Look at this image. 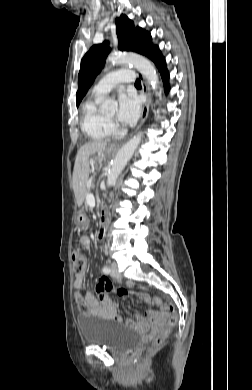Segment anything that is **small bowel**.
I'll return each mask as SVG.
<instances>
[{"mask_svg":"<svg viewBox=\"0 0 252 390\" xmlns=\"http://www.w3.org/2000/svg\"><path fill=\"white\" fill-rule=\"evenodd\" d=\"M81 245L88 249L90 247V239L86 236L80 239ZM86 271L83 270L75 275L73 286L76 290H82L85 287ZM110 286L106 278H101L96 286L98 297H95L91 292L84 294V299L92 315L111 320L122 324L127 328L134 329L146 335H153L160 332L164 326V314L157 310H148L145 314H137L134 318L123 320L118 314L116 304L106 291ZM147 303H150L148 299Z\"/></svg>","mask_w":252,"mask_h":390,"instance_id":"1","label":"small bowel"}]
</instances>
